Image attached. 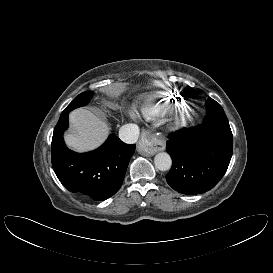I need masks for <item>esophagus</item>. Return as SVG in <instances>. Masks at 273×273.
I'll return each mask as SVG.
<instances>
[{
    "label": "esophagus",
    "instance_id": "obj_1",
    "mask_svg": "<svg viewBox=\"0 0 273 273\" xmlns=\"http://www.w3.org/2000/svg\"><path fill=\"white\" fill-rule=\"evenodd\" d=\"M165 149V142L150 130H143L141 138L137 146V150L140 154L145 156H152L158 151Z\"/></svg>",
    "mask_w": 273,
    "mask_h": 273
}]
</instances>
